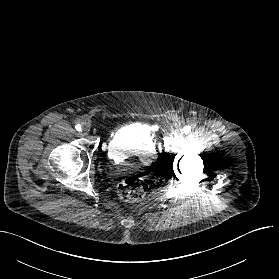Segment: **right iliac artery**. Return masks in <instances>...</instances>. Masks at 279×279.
Returning a JSON list of instances; mask_svg holds the SVG:
<instances>
[{"label":"right iliac artery","instance_id":"1","mask_svg":"<svg viewBox=\"0 0 279 279\" xmlns=\"http://www.w3.org/2000/svg\"><path fill=\"white\" fill-rule=\"evenodd\" d=\"M75 128H76L77 131H81L82 130V127H81L80 124L76 125Z\"/></svg>","mask_w":279,"mask_h":279}]
</instances>
